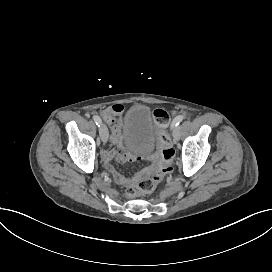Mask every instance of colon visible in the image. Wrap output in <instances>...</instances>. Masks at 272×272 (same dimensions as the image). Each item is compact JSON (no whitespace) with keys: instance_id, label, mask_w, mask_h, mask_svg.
Returning a JSON list of instances; mask_svg holds the SVG:
<instances>
[{"instance_id":"5ec220e1","label":"colon","mask_w":272,"mask_h":272,"mask_svg":"<svg viewBox=\"0 0 272 272\" xmlns=\"http://www.w3.org/2000/svg\"><path fill=\"white\" fill-rule=\"evenodd\" d=\"M176 113L175 109H158L154 112V122L160 129H166L170 122L171 115ZM113 139V138H112ZM115 139V138H114ZM157 146L162 150L160 162L155 164L154 169L150 174L143 173L139 175L138 179L130 181L127 185V193L130 195H137L139 192L144 196L153 194L155 190V182L161 179L166 174L172 172L173 167L170 164L171 158L174 155V139L167 131H162L157 139ZM125 180L122 179L121 182Z\"/></svg>"}]
</instances>
